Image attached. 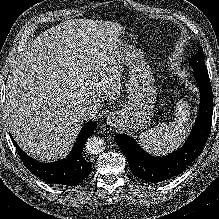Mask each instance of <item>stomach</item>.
<instances>
[{"instance_id": "obj_1", "label": "stomach", "mask_w": 219, "mask_h": 219, "mask_svg": "<svg viewBox=\"0 0 219 219\" xmlns=\"http://www.w3.org/2000/svg\"><path fill=\"white\" fill-rule=\"evenodd\" d=\"M117 51L120 62L127 69L128 102L112 113L110 121L124 130H144L150 125L157 94L153 71L144 52L136 46L122 44Z\"/></svg>"}]
</instances>
